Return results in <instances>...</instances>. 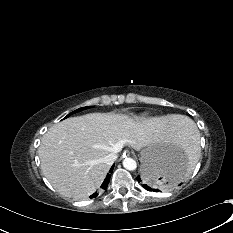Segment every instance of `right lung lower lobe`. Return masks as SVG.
<instances>
[{"label":"right lung lower lobe","mask_w":233,"mask_h":233,"mask_svg":"<svg viewBox=\"0 0 233 233\" xmlns=\"http://www.w3.org/2000/svg\"><path fill=\"white\" fill-rule=\"evenodd\" d=\"M113 166H114V165H113ZM112 171H113V167L109 170V173L107 174V176H106L104 182H103L102 185H101V188L104 189V190H105V189L107 188V186H108V183H109V180H110V176H111ZM97 195H98L97 193H94V194H92V195L90 196V198H94V197H96Z\"/></svg>","instance_id":"right-lung-lower-lobe-1"}]
</instances>
